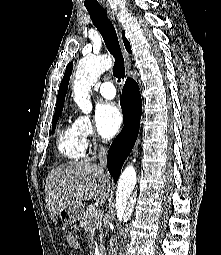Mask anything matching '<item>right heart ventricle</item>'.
Wrapping results in <instances>:
<instances>
[{"instance_id":"1","label":"right heart ventricle","mask_w":221,"mask_h":255,"mask_svg":"<svg viewBox=\"0 0 221 255\" xmlns=\"http://www.w3.org/2000/svg\"><path fill=\"white\" fill-rule=\"evenodd\" d=\"M59 153L66 159L79 160L86 153V142L81 136L76 122L66 124L57 138Z\"/></svg>"}]
</instances>
